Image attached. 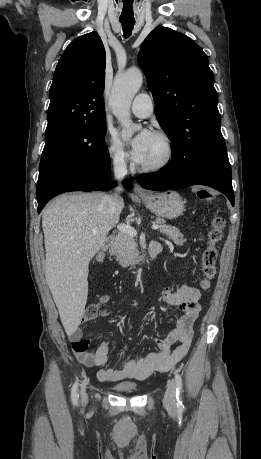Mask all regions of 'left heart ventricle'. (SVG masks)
<instances>
[{
    "label": "left heart ventricle",
    "mask_w": 261,
    "mask_h": 459,
    "mask_svg": "<svg viewBox=\"0 0 261 459\" xmlns=\"http://www.w3.org/2000/svg\"><path fill=\"white\" fill-rule=\"evenodd\" d=\"M165 153L163 142L153 135L146 151L145 159L142 165H148L159 161Z\"/></svg>",
    "instance_id": "obj_1"
}]
</instances>
